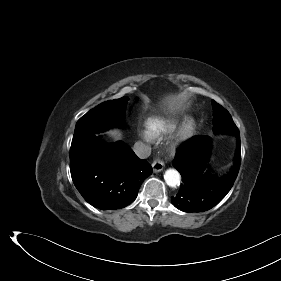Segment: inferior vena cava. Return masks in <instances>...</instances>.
<instances>
[{
    "label": "inferior vena cava",
    "instance_id": "obj_1",
    "mask_svg": "<svg viewBox=\"0 0 281 281\" xmlns=\"http://www.w3.org/2000/svg\"><path fill=\"white\" fill-rule=\"evenodd\" d=\"M133 150L135 154L141 159H146L151 154V147L142 142H136L134 144Z\"/></svg>",
    "mask_w": 281,
    "mask_h": 281
}]
</instances>
